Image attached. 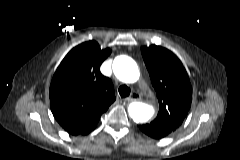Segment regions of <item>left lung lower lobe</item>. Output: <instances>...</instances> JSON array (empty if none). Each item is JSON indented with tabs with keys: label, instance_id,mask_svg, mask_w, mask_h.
<instances>
[{
	"label": "left lung lower lobe",
	"instance_id": "left-lung-lower-lobe-1",
	"mask_svg": "<svg viewBox=\"0 0 240 160\" xmlns=\"http://www.w3.org/2000/svg\"><path fill=\"white\" fill-rule=\"evenodd\" d=\"M139 128L142 132H144L148 136L155 138V139H161L168 135V134L164 133L163 131L151 126L150 124L140 125Z\"/></svg>",
	"mask_w": 240,
	"mask_h": 160
}]
</instances>
